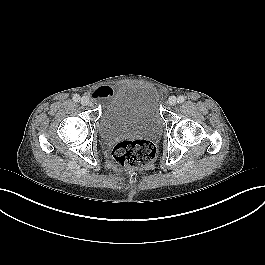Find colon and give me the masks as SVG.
<instances>
[{"label": "colon", "mask_w": 265, "mask_h": 265, "mask_svg": "<svg viewBox=\"0 0 265 265\" xmlns=\"http://www.w3.org/2000/svg\"><path fill=\"white\" fill-rule=\"evenodd\" d=\"M115 163L124 169H144L157 156L156 146L149 140L134 139L118 142L112 151Z\"/></svg>", "instance_id": "colon-1"}]
</instances>
